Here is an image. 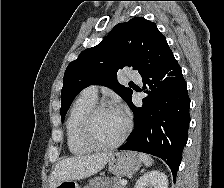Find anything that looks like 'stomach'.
Segmentation results:
<instances>
[{
    "label": "stomach",
    "instance_id": "1",
    "mask_svg": "<svg viewBox=\"0 0 224 188\" xmlns=\"http://www.w3.org/2000/svg\"><path fill=\"white\" fill-rule=\"evenodd\" d=\"M142 164L140 156L135 152L125 151L112 154L108 161V169L117 177L135 173ZM55 188H80L73 180L59 183Z\"/></svg>",
    "mask_w": 224,
    "mask_h": 188
}]
</instances>
